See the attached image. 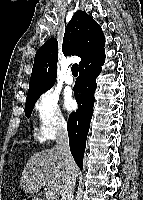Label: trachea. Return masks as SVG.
<instances>
[{"label": "trachea", "mask_w": 143, "mask_h": 200, "mask_svg": "<svg viewBox=\"0 0 143 200\" xmlns=\"http://www.w3.org/2000/svg\"><path fill=\"white\" fill-rule=\"evenodd\" d=\"M71 71L74 76L78 75V65L76 63L72 65Z\"/></svg>", "instance_id": "1"}]
</instances>
